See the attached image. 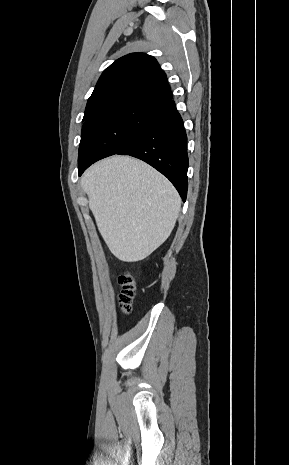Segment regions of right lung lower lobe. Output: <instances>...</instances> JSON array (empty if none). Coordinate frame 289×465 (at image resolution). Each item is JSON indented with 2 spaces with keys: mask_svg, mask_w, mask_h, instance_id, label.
Masks as SVG:
<instances>
[{
  "mask_svg": "<svg viewBox=\"0 0 289 465\" xmlns=\"http://www.w3.org/2000/svg\"><path fill=\"white\" fill-rule=\"evenodd\" d=\"M116 154L141 159L163 175L175 186L182 200L187 196V136L175 102L169 100L163 110L145 129ZM97 160L78 165L79 176Z\"/></svg>",
  "mask_w": 289,
  "mask_h": 465,
  "instance_id": "1",
  "label": "right lung lower lobe"
}]
</instances>
